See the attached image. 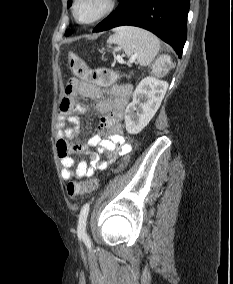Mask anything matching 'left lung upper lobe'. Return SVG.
I'll return each mask as SVG.
<instances>
[{"label": "left lung upper lobe", "mask_w": 233, "mask_h": 284, "mask_svg": "<svg viewBox=\"0 0 233 284\" xmlns=\"http://www.w3.org/2000/svg\"><path fill=\"white\" fill-rule=\"evenodd\" d=\"M67 6L70 7L71 6V2H68ZM70 33H71L70 31H66V36L70 35Z\"/></svg>", "instance_id": "1"}]
</instances>
